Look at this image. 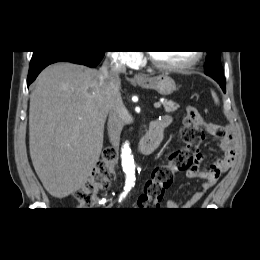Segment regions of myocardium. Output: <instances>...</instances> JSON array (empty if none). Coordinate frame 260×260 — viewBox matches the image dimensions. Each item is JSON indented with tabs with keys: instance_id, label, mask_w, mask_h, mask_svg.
I'll return each mask as SVG.
<instances>
[{
	"instance_id": "f54148a6",
	"label": "myocardium",
	"mask_w": 260,
	"mask_h": 260,
	"mask_svg": "<svg viewBox=\"0 0 260 260\" xmlns=\"http://www.w3.org/2000/svg\"><path fill=\"white\" fill-rule=\"evenodd\" d=\"M202 52L201 51H195V56L192 60L183 63V64H177V65H170V64H164L159 62L152 54V52L147 53V59L148 61L157 69L164 70V71H171V72H179L188 70L195 65L199 63V61L202 58Z\"/></svg>"
}]
</instances>
